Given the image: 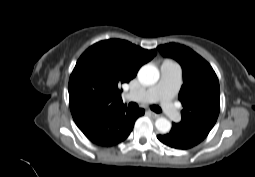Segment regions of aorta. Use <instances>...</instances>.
Returning <instances> with one entry per match:
<instances>
[{"label":"aorta","mask_w":255,"mask_h":177,"mask_svg":"<svg viewBox=\"0 0 255 177\" xmlns=\"http://www.w3.org/2000/svg\"><path fill=\"white\" fill-rule=\"evenodd\" d=\"M159 76L158 68L152 64L142 66L138 72L139 81L146 86L157 83ZM155 126L159 132L168 133L171 129V122L164 117H160L155 121Z\"/></svg>","instance_id":"762f6f07"}]
</instances>
